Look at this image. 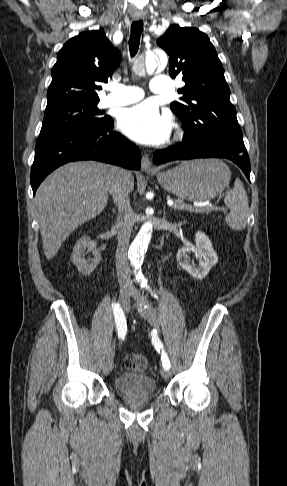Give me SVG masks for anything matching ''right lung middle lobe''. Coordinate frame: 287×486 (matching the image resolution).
<instances>
[{
    "label": "right lung middle lobe",
    "instance_id": "right-lung-middle-lobe-1",
    "mask_svg": "<svg viewBox=\"0 0 287 486\" xmlns=\"http://www.w3.org/2000/svg\"><path fill=\"white\" fill-rule=\"evenodd\" d=\"M99 99L66 102L46 107L40 135L83 130L105 122L107 116L97 108Z\"/></svg>",
    "mask_w": 287,
    "mask_h": 486
}]
</instances>
